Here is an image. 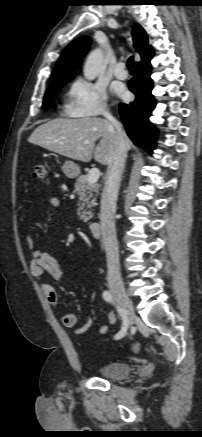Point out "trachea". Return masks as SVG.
<instances>
[{"label": "trachea", "mask_w": 202, "mask_h": 437, "mask_svg": "<svg viewBox=\"0 0 202 437\" xmlns=\"http://www.w3.org/2000/svg\"><path fill=\"white\" fill-rule=\"evenodd\" d=\"M126 65L130 71H134V58H133V56L128 58Z\"/></svg>", "instance_id": "trachea-1"}]
</instances>
